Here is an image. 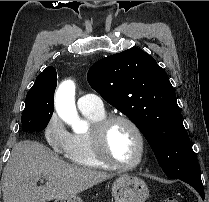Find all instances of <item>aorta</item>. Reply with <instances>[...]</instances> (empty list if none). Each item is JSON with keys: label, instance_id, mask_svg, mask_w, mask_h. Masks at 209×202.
<instances>
[{"label": "aorta", "instance_id": "1", "mask_svg": "<svg viewBox=\"0 0 209 202\" xmlns=\"http://www.w3.org/2000/svg\"><path fill=\"white\" fill-rule=\"evenodd\" d=\"M55 106L61 119L69 124L75 132L87 130V122L80 119L76 111L75 83L72 80H66L58 87Z\"/></svg>", "mask_w": 209, "mask_h": 202}]
</instances>
